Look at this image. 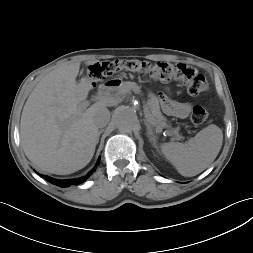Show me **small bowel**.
Listing matches in <instances>:
<instances>
[{
    "label": "small bowel",
    "instance_id": "small-bowel-1",
    "mask_svg": "<svg viewBox=\"0 0 253 253\" xmlns=\"http://www.w3.org/2000/svg\"><path fill=\"white\" fill-rule=\"evenodd\" d=\"M159 101L165 112L179 118L187 117L192 109V105L190 103L174 102L169 99L166 93L159 94Z\"/></svg>",
    "mask_w": 253,
    "mask_h": 253
}]
</instances>
